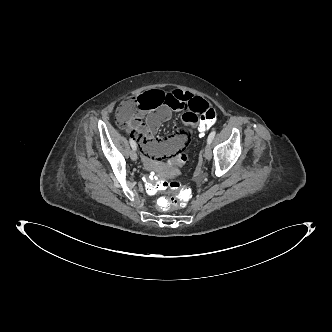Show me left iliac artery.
<instances>
[{
    "instance_id": "1",
    "label": "left iliac artery",
    "mask_w": 332,
    "mask_h": 332,
    "mask_svg": "<svg viewBox=\"0 0 332 332\" xmlns=\"http://www.w3.org/2000/svg\"><path fill=\"white\" fill-rule=\"evenodd\" d=\"M215 135H216V131H212V132L209 134L208 139H207V143H208V144H211V142H212V140L214 139Z\"/></svg>"
}]
</instances>
